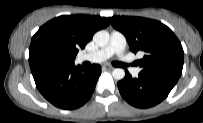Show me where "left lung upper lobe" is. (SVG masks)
I'll list each match as a JSON object with an SVG mask.
<instances>
[{
	"mask_svg": "<svg viewBox=\"0 0 203 123\" xmlns=\"http://www.w3.org/2000/svg\"><path fill=\"white\" fill-rule=\"evenodd\" d=\"M109 20L125 35L132 52H144L143 59L137 61L142 71L181 76L184 52L170 28L159 21L141 17L113 16Z\"/></svg>",
	"mask_w": 203,
	"mask_h": 123,
	"instance_id": "1",
	"label": "left lung upper lobe"
}]
</instances>
